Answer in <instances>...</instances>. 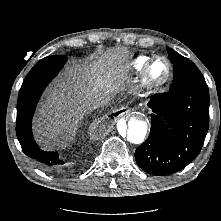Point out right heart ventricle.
<instances>
[{"label":"right heart ventricle","instance_id":"1","mask_svg":"<svg viewBox=\"0 0 221 221\" xmlns=\"http://www.w3.org/2000/svg\"><path fill=\"white\" fill-rule=\"evenodd\" d=\"M150 58H151V56H149V55H139L133 61L134 69L137 71H143L145 65L150 60Z\"/></svg>","mask_w":221,"mask_h":221}]
</instances>
